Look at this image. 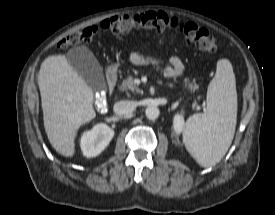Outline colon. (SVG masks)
<instances>
[{"instance_id": "colon-1", "label": "colon", "mask_w": 275, "mask_h": 215, "mask_svg": "<svg viewBox=\"0 0 275 215\" xmlns=\"http://www.w3.org/2000/svg\"><path fill=\"white\" fill-rule=\"evenodd\" d=\"M149 29L158 33L177 32L198 49L213 53L217 41L209 31L193 22L180 21L163 12L123 14L104 20L99 25L84 28L65 36L57 44L58 49H66L80 43H89L101 34H125L134 30Z\"/></svg>"}]
</instances>
